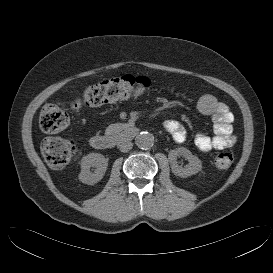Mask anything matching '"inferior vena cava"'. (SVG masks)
<instances>
[{"instance_id":"602c4592","label":"inferior vena cava","mask_w":273,"mask_h":273,"mask_svg":"<svg viewBox=\"0 0 273 273\" xmlns=\"http://www.w3.org/2000/svg\"><path fill=\"white\" fill-rule=\"evenodd\" d=\"M121 152H128L132 149L133 144L130 141H122L118 145Z\"/></svg>"}]
</instances>
